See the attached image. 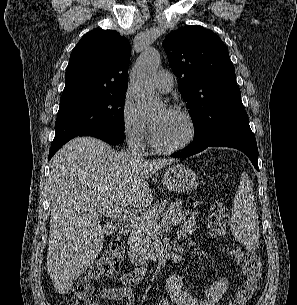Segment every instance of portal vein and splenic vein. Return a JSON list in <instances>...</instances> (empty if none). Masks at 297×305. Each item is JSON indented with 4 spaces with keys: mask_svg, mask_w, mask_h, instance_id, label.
Here are the masks:
<instances>
[{
    "mask_svg": "<svg viewBox=\"0 0 297 305\" xmlns=\"http://www.w3.org/2000/svg\"><path fill=\"white\" fill-rule=\"evenodd\" d=\"M99 215H105L108 217H114V218H122L124 220L128 221H134L140 218L141 214H138L136 211L130 210V209H123L120 208L117 205H109L104 208H100L98 210ZM163 225H158L157 229L160 228Z\"/></svg>",
    "mask_w": 297,
    "mask_h": 305,
    "instance_id": "18ae733b",
    "label": "portal vein and splenic vein"
}]
</instances>
